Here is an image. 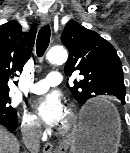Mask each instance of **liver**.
I'll use <instances>...</instances> for the list:
<instances>
[{"label": "liver", "mask_w": 130, "mask_h": 153, "mask_svg": "<svg viewBox=\"0 0 130 153\" xmlns=\"http://www.w3.org/2000/svg\"><path fill=\"white\" fill-rule=\"evenodd\" d=\"M19 151L17 138L0 125V153H19Z\"/></svg>", "instance_id": "obj_1"}]
</instances>
